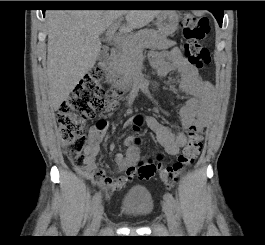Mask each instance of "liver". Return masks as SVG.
Listing matches in <instances>:
<instances>
[{"instance_id":"1","label":"liver","mask_w":265,"mask_h":245,"mask_svg":"<svg viewBox=\"0 0 265 245\" xmlns=\"http://www.w3.org/2000/svg\"><path fill=\"white\" fill-rule=\"evenodd\" d=\"M161 10H50L48 25V95L54 110L60 108L79 81L96 63L99 36L125 16L123 33L149 24Z\"/></svg>"}]
</instances>
